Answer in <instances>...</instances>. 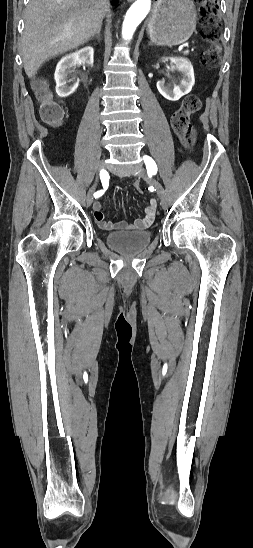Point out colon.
Here are the masks:
<instances>
[{
  "mask_svg": "<svg viewBox=\"0 0 253 548\" xmlns=\"http://www.w3.org/2000/svg\"><path fill=\"white\" fill-rule=\"evenodd\" d=\"M199 14L204 23V39L214 43L219 38L218 32V3L217 0H197ZM219 61L218 53L214 48L207 50L201 59L202 65L206 68H214ZM37 100L40 104V114L43 120L51 124H57L62 119V107L55 99L47 84L38 80L35 83ZM201 101L198 96L190 94L184 98L181 106L172 116V126L180 137L185 147H192L195 143L196 134L191 124V117L200 109ZM138 192H142L140 182L135 183Z\"/></svg>",
  "mask_w": 253,
  "mask_h": 548,
  "instance_id": "colon-1",
  "label": "colon"
}]
</instances>
